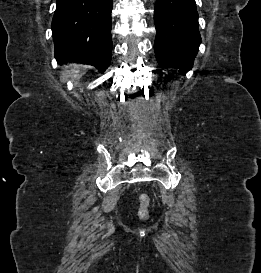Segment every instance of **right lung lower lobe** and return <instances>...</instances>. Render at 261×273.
<instances>
[{
	"label": "right lung lower lobe",
	"mask_w": 261,
	"mask_h": 273,
	"mask_svg": "<svg viewBox=\"0 0 261 273\" xmlns=\"http://www.w3.org/2000/svg\"><path fill=\"white\" fill-rule=\"evenodd\" d=\"M113 0H57L52 21L55 58L95 66L104 72L111 60Z\"/></svg>",
	"instance_id": "1"
}]
</instances>
